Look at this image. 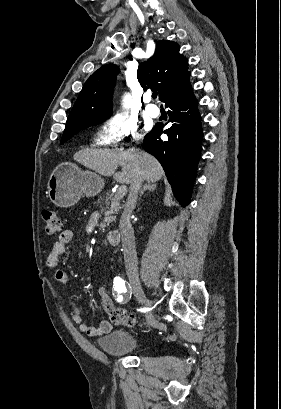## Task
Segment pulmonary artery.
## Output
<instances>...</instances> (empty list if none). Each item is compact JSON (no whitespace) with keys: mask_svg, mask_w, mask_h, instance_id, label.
<instances>
[{"mask_svg":"<svg viewBox=\"0 0 281 409\" xmlns=\"http://www.w3.org/2000/svg\"><path fill=\"white\" fill-rule=\"evenodd\" d=\"M146 111L148 115L152 118H158L160 116V110L158 108H155V105L153 103H150L148 105Z\"/></svg>","mask_w":281,"mask_h":409,"instance_id":"obj_1","label":"pulmonary artery"}]
</instances>
